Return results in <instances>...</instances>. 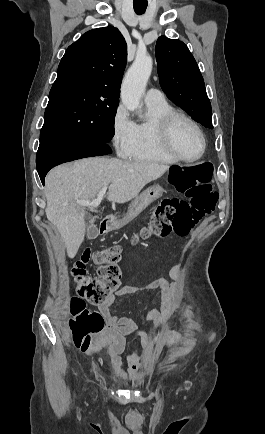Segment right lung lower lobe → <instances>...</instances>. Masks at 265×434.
Masks as SVG:
<instances>
[{
	"label": "right lung lower lobe",
	"mask_w": 265,
	"mask_h": 434,
	"mask_svg": "<svg viewBox=\"0 0 265 434\" xmlns=\"http://www.w3.org/2000/svg\"><path fill=\"white\" fill-rule=\"evenodd\" d=\"M110 147L104 142L75 141L55 135L40 138L36 164L44 185L47 172L56 165L76 159L110 154Z\"/></svg>",
	"instance_id": "obj_1"
}]
</instances>
